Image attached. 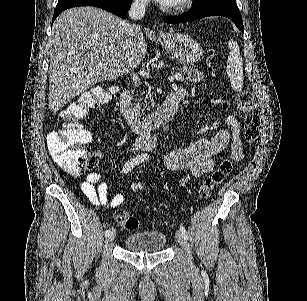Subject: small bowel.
Here are the masks:
<instances>
[{"instance_id":"small-bowel-1","label":"small bowel","mask_w":307,"mask_h":301,"mask_svg":"<svg viewBox=\"0 0 307 301\" xmlns=\"http://www.w3.org/2000/svg\"><path fill=\"white\" fill-rule=\"evenodd\" d=\"M225 124L229 127L219 128L212 138H201L187 147L177 148L164 156L166 166L172 170H188L190 177H200L215 168L214 156L227 147L231 149V157L239 161L242 158V141L240 139L241 124L234 115H228ZM142 188L140 182L132 183L131 192ZM81 190L88 201L95 207L107 205L115 208L120 206L127 193L116 194L109 198L108 186L102 181L99 172H91L81 185Z\"/></svg>"}]
</instances>
